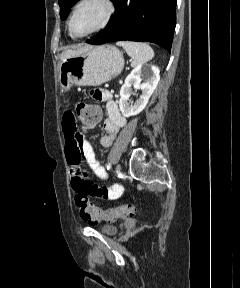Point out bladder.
<instances>
[{"instance_id":"obj_1","label":"bladder","mask_w":240,"mask_h":288,"mask_svg":"<svg viewBox=\"0 0 240 288\" xmlns=\"http://www.w3.org/2000/svg\"><path fill=\"white\" fill-rule=\"evenodd\" d=\"M117 227L114 225L106 224L100 227L99 231L106 236H114L117 233Z\"/></svg>"}]
</instances>
